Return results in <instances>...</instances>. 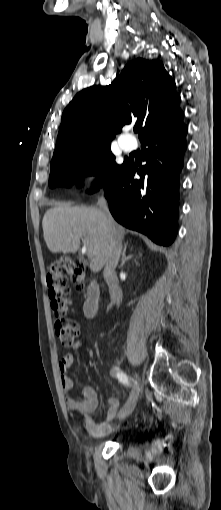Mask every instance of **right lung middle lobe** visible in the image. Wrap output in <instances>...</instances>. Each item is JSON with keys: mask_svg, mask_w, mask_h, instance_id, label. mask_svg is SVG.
I'll return each instance as SVG.
<instances>
[{"mask_svg": "<svg viewBox=\"0 0 221 510\" xmlns=\"http://www.w3.org/2000/svg\"><path fill=\"white\" fill-rule=\"evenodd\" d=\"M125 162H115L110 144L74 149L51 162L49 186H70L85 174H96L98 182L90 191L93 193L111 182Z\"/></svg>", "mask_w": 221, "mask_h": 510, "instance_id": "obj_1", "label": "right lung middle lobe"}]
</instances>
